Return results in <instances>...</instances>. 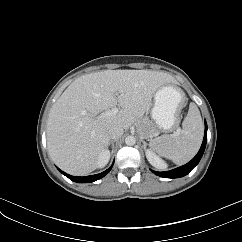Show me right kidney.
<instances>
[{
	"instance_id": "1",
	"label": "right kidney",
	"mask_w": 242,
	"mask_h": 242,
	"mask_svg": "<svg viewBox=\"0 0 242 242\" xmlns=\"http://www.w3.org/2000/svg\"><path fill=\"white\" fill-rule=\"evenodd\" d=\"M110 159V151L108 149L103 150L97 160V168L104 167Z\"/></svg>"
}]
</instances>
